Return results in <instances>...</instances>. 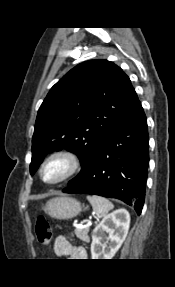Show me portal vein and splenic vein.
I'll return each mask as SVG.
<instances>
[{
  "label": "portal vein and splenic vein",
  "mask_w": 175,
  "mask_h": 287,
  "mask_svg": "<svg viewBox=\"0 0 175 287\" xmlns=\"http://www.w3.org/2000/svg\"><path fill=\"white\" fill-rule=\"evenodd\" d=\"M87 224L89 225V224H91V222L89 221V220H87ZM81 227V226H80Z\"/></svg>",
  "instance_id": "18ae733b"
}]
</instances>
